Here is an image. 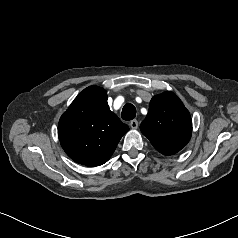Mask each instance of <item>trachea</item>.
<instances>
[{
    "label": "trachea",
    "instance_id": "1",
    "mask_svg": "<svg viewBox=\"0 0 238 238\" xmlns=\"http://www.w3.org/2000/svg\"><path fill=\"white\" fill-rule=\"evenodd\" d=\"M135 116H136V108L134 107V105H132L131 103L125 104L121 113L122 119L129 121L134 119Z\"/></svg>",
    "mask_w": 238,
    "mask_h": 238
}]
</instances>
